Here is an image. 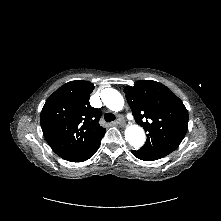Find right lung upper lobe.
Instances as JSON below:
<instances>
[{
  "label": "right lung upper lobe",
  "instance_id": "1",
  "mask_svg": "<svg viewBox=\"0 0 221 221\" xmlns=\"http://www.w3.org/2000/svg\"><path fill=\"white\" fill-rule=\"evenodd\" d=\"M94 85L88 81H71L46 100L40 115L44 137L52 150L65 160H73L87 151L106 129L99 119L101 109L91 107Z\"/></svg>",
  "mask_w": 221,
  "mask_h": 221
}]
</instances>
